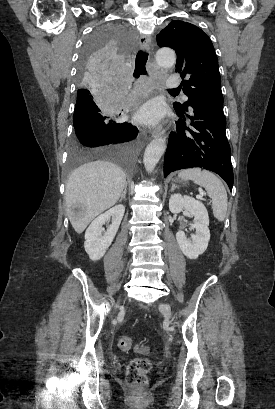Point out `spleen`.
I'll list each match as a JSON object with an SVG mask.
<instances>
[{
  "mask_svg": "<svg viewBox=\"0 0 275 409\" xmlns=\"http://www.w3.org/2000/svg\"><path fill=\"white\" fill-rule=\"evenodd\" d=\"M178 176L180 178H189V180H194L196 184L204 186L207 190L208 196L212 198V209L213 215L218 219V221H224L227 213L228 207V196L226 188L213 172L209 170H201V168H187V170H181Z\"/></svg>",
  "mask_w": 275,
  "mask_h": 409,
  "instance_id": "spleen-1",
  "label": "spleen"
}]
</instances>
